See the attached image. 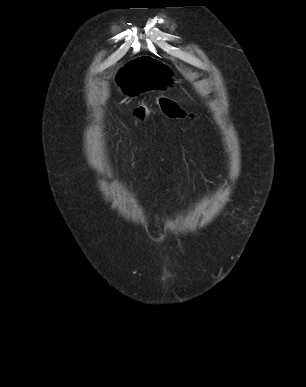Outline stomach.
I'll return each instance as SVG.
<instances>
[{"label": "stomach", "mask_w": 306, "mask_h": 387, "mask_svg": "<svg viewBox=\"0 0 306 387\" xmlns=\"http://www.w3.org/2000/svg\"><path fill=\"white\" fill-rule=\"evenodd\" d=\"M166 66L167 59H156V55H133V61H128L116 75V82L126 95H147V91H156L172 82Z\"/></svg>", "instance_id": "stomach-1"}]
</instances>
